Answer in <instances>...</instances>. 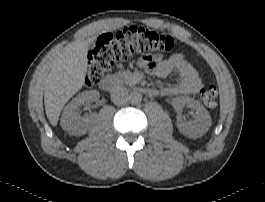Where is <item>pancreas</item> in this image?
I'll list each match as a JSON object with an SVG mask.
<instances>
[{
	"label": "pancreas",
	"mask_w": 265,
	"mask_h": 202,
	"mask_svg": "<svg viewBox=\"0 0 265 202\" xmlns=\"http://www.w3.org/2000/svg\"><path fill=\"white\" fill-rule=\"evenodd\" d=\"M117 76L128 85H135L137 83L134 75L130 71H119Z\"/></svg>",
	"instance_id": "cf45deb5"
}]
</instances>
